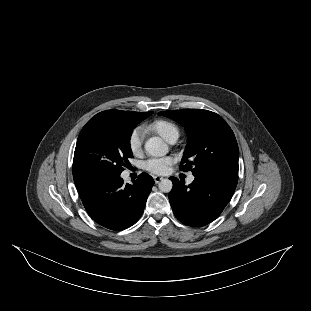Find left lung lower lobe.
Listing matches in <instances>:
<instances>
[{
  "label": "left lung lower lobe",
  "instance_id": "obj_1",
  "mask_svg": "<svg viewBox=\"0 0 311 311\" xmlns=\"http://www.w3.org/2000/svg\"><path fill=\"white\" fill-rule=\"evenodd\" d=\"M194 176L188 186L170 177L173 188L169 201L179 221L201 227L215 220L230 201L237 186L238 172L219 170Z\"/></svg>",
  "mask_w": 311,
  "mask_h": 311
}]
</instances>
